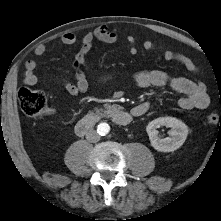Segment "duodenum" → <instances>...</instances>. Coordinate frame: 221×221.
<instances>
[{
  "mask_svg": "<svg viewBox=\"0 0 221 221\" xmlns=\"http://www.w3.org/2000/svg\"><path fill=\"white\" fill-rule=\"evenodd\" d=\"M148 110V104H141L136 106L132 113L125 112L118 107H112L107 110L92 112L77 122L75 125V133L78 136L85 135L102 116L108 117L117 125L127 126L132 122L135 116H141Z\"/></svg>",
  "mask_w": 221,
  "mask_h": 221,
  "instance_id": "duodenum-1",
  "label": "duodenum"
}]
</instances>
